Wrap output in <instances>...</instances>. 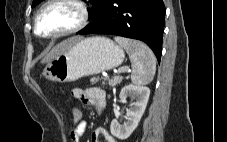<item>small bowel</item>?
Here are the masks:
<instances>
[{
	"mask_svg": "<svg viewBox=\"0 0 227 142\" xmlns=\"http://www.w3.org/2000/svg\"><path fill=\"white\" fill-rule=\"evenodd\" d=\"M72 96L76 100L92 106L98 114H101V111L105 107L106 95L100 88H75L72 90ZM85 130L86 121H84L80 126L72 128L69 133L71 142H80ZM100 137H103L106 142H117L113 136L102 128H98L92 133L91 141L100 142Z\"/></svg>",
	"mask_w": 227,
	"mask_h": 142,
	"instance_id": "c3829d8e",
	"label": "small bowel"
}]
</instances>
